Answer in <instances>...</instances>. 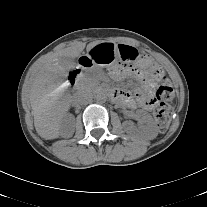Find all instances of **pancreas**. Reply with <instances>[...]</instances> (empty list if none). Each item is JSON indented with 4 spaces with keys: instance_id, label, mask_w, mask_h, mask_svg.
I'll use <instances>...</instances> for the list:
<instances>
[{
    "instance_id": "cf45deb5",
    "label": "pancreas",
    "mask_w": 207,
    "mask_h": 207,
    "mask_svg": "<svg viewBox=\"0 0 207 207\" xmlns=\"http://www.w3.org/2000/svg\"><path fill=\"white\" fill-rule=\"evenodd\" d=\"M102 74L95 71L85 72L81 75V85L86 89H94Z\"/></svg>"
}]
</instances>
